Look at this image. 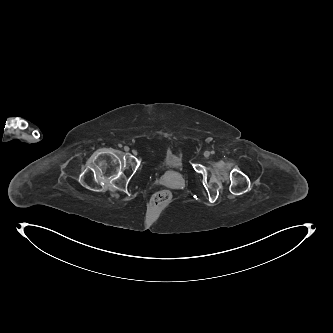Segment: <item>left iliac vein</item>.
Returning <instances> with one entry per match:
<instances>
[{
    "instance_id": "1",
    "label": "left iliac vein",
    "mask_w": 333,
    "mask_h": 333,
    "mask_svg": "<svg viewBox=\"0 0 333 333\" xmlns=\"http://www.w3.org/2000/svg\"><path fill=\"white\" fill-rule=\"evenodd\" d=\"M204 156H205V157H209V156H210V152H209V151H205V152H204Z\"/></svg>"
}]
</instances>
